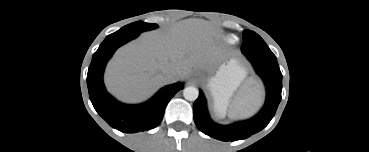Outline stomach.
<instances>
[{"instance_id": "stomach-1", "label": "stomach", "mask_w": 369, "mask_h": 152, "mask_svg": "<svg viewBox=\"0 0 369 152\" xmlns=\"http://www.w3.org/2000/svg\"><path fill=\"white\" fill-rule=\"evenodd\" d=\"M245 76L244 69L236 60H230L220 67L215 77L208 82L214 98V108L218 115L223 116L233 91Z\"/></svg>"}]
</instances>
